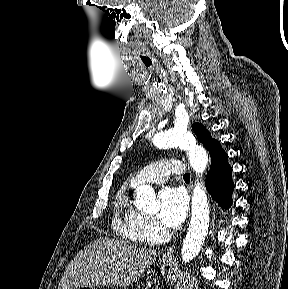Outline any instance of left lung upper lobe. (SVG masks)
<instances>
[{
    "instance_id": "obj_1",
    "label": "left lung upper lobe",
    "mask_w": 288,
    "mask_h": 289,
    "mask_svg": "<svg viewBox=\"0 0 288 289\" xmlns=\"http://www.w3.org/2000/svg\"><path fill=\"white\" fill-rule=\"evenodd\" d=\"M192 129L195 132L198 140L209 150L217 140L211 138L209 131L199 123H194Z\"/></svg>"
}]
</instances>
